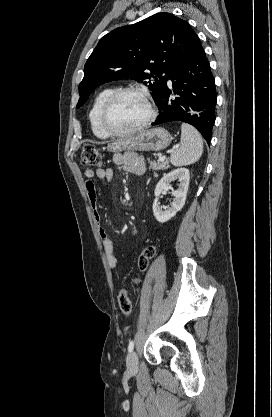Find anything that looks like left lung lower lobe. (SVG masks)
<instances>
[{
  "instance_id": "0a47b994",
  "label": "left lung lower lobe",
  "mask_w": 272,
  "mask_h": 417,
  "mask_svg": "<svg viewBox=\"0 0 272 417\" xmlns=\"http://www.w3.org/2000/svg\"><path fill=\"white\" fill-rule=\"evenodd\" d=\"M172 86L166 87L156 104L161 110L157 125L182 121L196 127L210 143L215 122L216 89L214 77L203 48L182 61L170 74ZM177 94L172 98L171 94Z\"/></svg>"
}]
</instances>
